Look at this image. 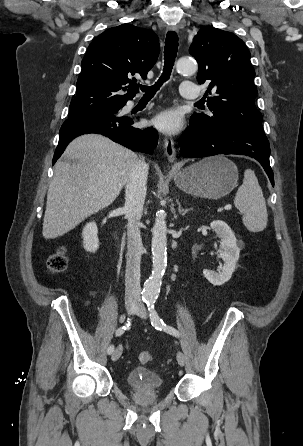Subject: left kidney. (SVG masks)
<instances>
[{
  "mask_svg": "<svg viewBox=\"0 0 303 446\" xmlns=\"http://www.w3.org/2000/svg\"><path fill=\"white\" fill-rule=\"evenodd\" d=\"M210 227L221 238L220 257L224 265L220 271L204 269V277L213 285L220 286L230 280L239 259L240 248L231 228L221 220L211 222Z\"/></svg>",
  "mask_w": 303,
  "mask_h": 446,
  "instance_id": "left-kidney-1",
  "label": "left kidney"
}]
</instances>
